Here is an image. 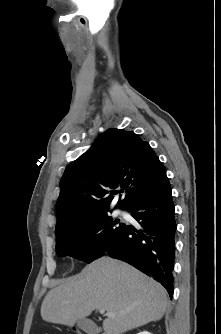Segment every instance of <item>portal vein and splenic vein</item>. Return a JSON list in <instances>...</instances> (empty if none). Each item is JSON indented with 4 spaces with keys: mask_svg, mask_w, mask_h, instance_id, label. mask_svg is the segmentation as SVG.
Wrapping results in <instances>:
<instances>
[{
    "mask_svg": "<svg viewBox=\"0 0 221 334\" xmlns=\"http://www.w3.org/2000/svg\"><path fill=\"white\" fill-rule=\"evenodd\" d=\"M99 312L101 314H104L105 313V309H99ZM107 316H114V314H111V313H106Z\"/></svg>",
    "mask_w": 221,
    "mask_h": 334,
    "instance_id": "obj_1",
    "label": "portal vein and splenic vein"
}]
</instances>
